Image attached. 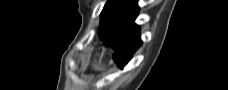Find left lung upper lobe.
<instances>
[{
	"label": "left lung upper lobe",
	"instance_id": "5c2ea615",
	"mask_svg": "<svg viewBox=\"0 0 228 90\" xmlns=\"http://www.w3.org/2000/svg\"><path fill=\"white\" fill-rule=\"evenodd\" d=\"M137 9L134 0H108L101 12L99 35L117 23V17L121 12L136 11Z\"/></svg>",
	"mask_w": 228,
	"mask_h": 90
}]
</instances>
